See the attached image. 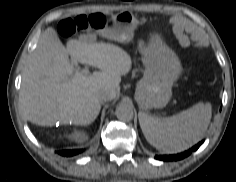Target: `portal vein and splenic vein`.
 Instances as JSON below:
<instances>
[{"mask_svg":"<svg viewBox=\"0 0 236 182\" xmlns=\"http://www.w3.org/2000/svg\"><path fill=\"white\" fill-rule=\"evenodd\" d=\"M76 72H79V69H77ZM82 73L88 74V73H89V70H88L87 68H85V69L82 70Z\"/></svg>","mask_w":236,"mask_h":182,"instance_id":"18ae733b","label":"portal vein and splenic vein"}]
</instances>
